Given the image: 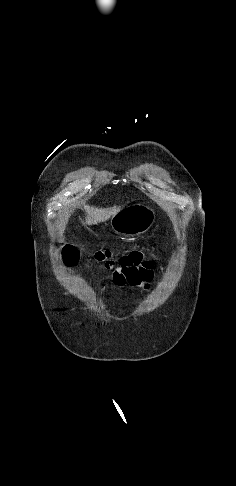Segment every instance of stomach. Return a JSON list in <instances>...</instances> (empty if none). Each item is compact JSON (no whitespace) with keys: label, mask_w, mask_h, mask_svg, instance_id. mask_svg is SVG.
Here are the masks:
<instances>
[{"label":"stomach","mask_w":236,"mask_h":486,"mask_svg":"<svg viewBox=\"0 0 236 486\" xmlns=\"http://www.w3.org/2000/svg\"><path fill=\"white\" fill-rule=\"evenodd\" d=\"M156 213L150 206L134 204L119 210L110 220L113 231L125 236L145 233L154 223Z\"/></svg>","instance_id":"obj_1"}]
</instances>
